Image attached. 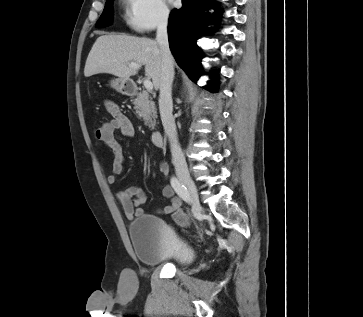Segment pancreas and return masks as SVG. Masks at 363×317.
Masks as SVG:
<instances>
[{
    "label": "pancreas",
    "mask_w": 363,
    "mask_h": 317,
    "mask_svg": "<svg viewBox=\"0 0 363 317\" xmlns=\"http://www.w3.org/2000/svg\"><path fill=\"white\" fill-rule=\"evenodd\" d=\"M133 104L136 114L142 117L145 125L153 130L156 125L157 111L149 93L147 91L138 93L137 97L133 100Z\"/></svg>",
    "instance_id": "pancreas-1"
}]
</instances>
